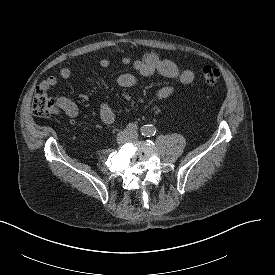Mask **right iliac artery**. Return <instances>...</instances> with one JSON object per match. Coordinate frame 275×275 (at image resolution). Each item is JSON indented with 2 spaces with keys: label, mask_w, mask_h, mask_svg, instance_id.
I'll use <instances>...</instances> for the list:
<instances>
[{
  "label": "right iliac artery",
  "mask_w": 275,
  "mask_h": 275,
  "mask_svg": "<svg viewBox=\"0 0 275 275\" xmlns=\"http://www.w3.org/2000/svg\"><path fill=\"white\" fill-rule=\"evenodd\" d=\"M137 130H138L137 126L133 123L128 124L126 127V131L131 134H136Z\"/></svg>",
  "instance_id": "obj_1"
}]
</instances>
